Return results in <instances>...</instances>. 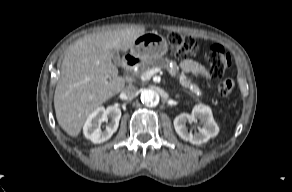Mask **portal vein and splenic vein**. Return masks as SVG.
<instances>
[{
    "mask_svg": "<svg viewBox=\"0 0 292 192\" xmlns=\"http://www.w3.org/2000/svg\"><path fill=\"white\" fill-rule=\"evenodd\" d=\"M158 72H160V68H154V69L148 70L141 75V80L143 81L149 80L152 78V76H154Z\"/></svg>",
    "mask_w": 292,
    "mask_h": 192,
    "instance_id": "18ae733b",
    "label": "portal vein and splenic vein"
}]
</instances>
